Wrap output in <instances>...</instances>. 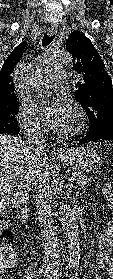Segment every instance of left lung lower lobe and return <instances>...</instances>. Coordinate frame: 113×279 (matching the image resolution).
I'll return each instance as SVG.
<instances>
[{
    "mask_svg": "<svg viewBox=\"0 0 113 279\" xmlns=\"http://www.w3.org/2000/svg\"><path fill=\"white\" fill-rule=\"evenodd\" d=\"M104 140H113V122H109L100 130L94 132L89 131L84 138L80 139L79 144Z\"/></svg>",
    "mask_w": 113,
    "mask_h": 279,
    "instance_id": "obj_1",
    "label": "left lung lower lobe"
}]
</instances>
